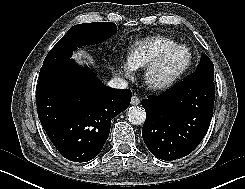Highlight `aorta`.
<instances>
[{"label": "aorta", "mask_w": 245, "mask_h": 189, "mask_svg": "<svg viewBox=\"0 0 245 189\" xmlns=\"http://www.w3.org/2000/svg\"><path fill=\"white\" fill-rule=\"evenodd\" d=\"M128 119L134 125H141L146 120L145 110L139 106H132L128 109Z\"/></svg>", "instance_id": "1"}]
</instances>
